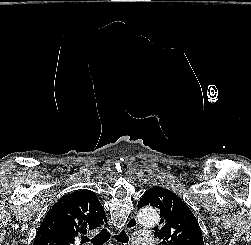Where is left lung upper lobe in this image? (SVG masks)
<instances>
[{
    "mask_svg": "<svg viewBox=\"0 0 251 245\" xmlns=\"http://www.w3.org/2000/svg\"><path fill=\"white\" fill-rule=\"evenodd\" d=\"M151 205L161 213V226L155 227L159 245H204L200 226L181 198L170 190L154 186L138 203V208Z\"/></svg>",
    "mask_w": 251,
    "mask_h": 245,
    "instance_id": "obj_1",
    "label": "left lung upper lobe"
}]
</instances>
